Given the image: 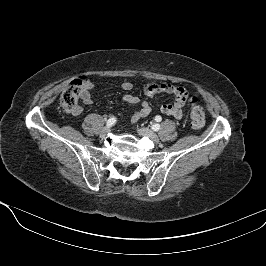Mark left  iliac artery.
I'll list each match as a JSON object with an SVG mask.
<instances>
[{"label":"left iliac artery","mask_w":266,"mask_h":266,"mask_svg":"<svg viewBox=\"0 0 266 266\" xmlns=\"http://www.w3.org/2000/svg\"><path fill=\"white\" fill-rule=\"evenodd\" d=\"M161 119H162V118H161V116H159V115L155 117V120L158 121V122H160ZM152 129H153L154 131H158V130L160 129V125H159V124H153V125H152Z\"/></svg>","instance_id":"44dca946"}]
</instances>
